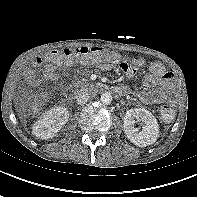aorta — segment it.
<instances>
[{
    "instance_id": "obj_1",
    "label": "aorta",
    "mask_w": 197,
    "mask_h": 197,
    "mask_svg": "<svg viewBox=\"0 0 197 197\" xmlns=\"http://www.w3.org/2000/svg\"><path fill=\"white\" fill-rule=\"evenodd\" d=\"M100 100L103 104L108 105L112 102V95L109 92L101 94Z\"/></svg>"
}]
</instances>
